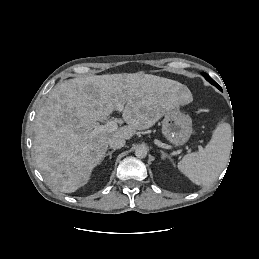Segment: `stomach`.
Listing matches in <instances>:
<instances>
[{"instance_id":"1","label":"stomach","mask_w":259,"mask_h":259,"mask_svg":"<svg viewBox=\"0 0 259 259\" xmlns=\"http://www.w3.org/2000/svg\"><path fill=\"white\" fill-rule=\"evenodd\" d=\"M182 91L189 92L185 86ZM192 130V121L189 116L177 109L165 113L162 121V133L174 146L185 144L189 140Z\"/></svg>"}]
</instances>
